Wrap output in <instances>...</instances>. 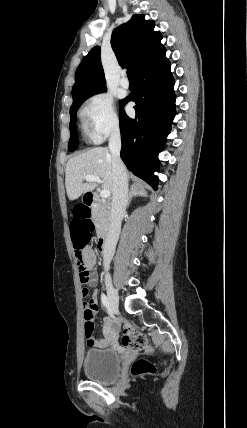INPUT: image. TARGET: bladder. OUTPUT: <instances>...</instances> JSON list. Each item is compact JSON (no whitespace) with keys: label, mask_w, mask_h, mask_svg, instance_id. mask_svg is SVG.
<instances>
[{"label":"bladder","mask_w":247,"mask_h":428,"mask_svg":"<svg viewBox=\"0 0 247 428\" xmlns=\"http://www.w3.org/2000/svg\"><path fill=\"white\" fill-rule=\"evenodd\" d=\"M83 371L87 378L100 383L114 381L121 371L119 353L111 348L89 349L85 353Z\"/></svg>","instance_id":"obj_1"}]
</instances>
